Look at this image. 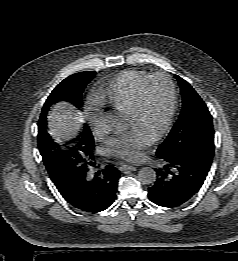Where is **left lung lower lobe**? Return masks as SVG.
Wrapping results in <instances>:
<instances>
[{"instance_id":"left-lung-lower-lobe-1","label":"left lung lower lobe","mask_w":238,"mask_h":261,"mask_svg":"<svg viewBox=\"0 0 238 261\" xmlns=\"http://www.w3.org/2000/svg\"><path fill=\"white\" fill-rule=\"evenodd\" d=\"M156 181L149 188V199L162 207H178L190 200L203 185L211 163L194 157L160 158Z\"/></svg>"}]
</instances>
